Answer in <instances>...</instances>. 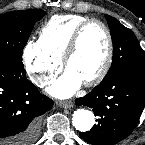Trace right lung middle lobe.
I'll use <instances>...</instances> for the list:
<instances>
[{
  "label": "right lung middle lobe",
  "mask_w": 145,
  "mask_h": 145,
  "mask_svg": "<svg viewBox=\"0 0 145 145\" xmlns=\"http://www.w3.org/2000/svg\"><path fill=\"white\" fill-rule=\"evenodd\" d=\"M45 15L43 10L12 11L0 16V61L22 60L26 45L35 22Z\"/></svg>",
  "instance_id": "obj_1"
}]
</instances>
